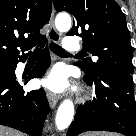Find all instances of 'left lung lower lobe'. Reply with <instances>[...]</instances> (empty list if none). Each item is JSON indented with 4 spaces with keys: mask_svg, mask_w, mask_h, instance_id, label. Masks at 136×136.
<instances>
[{
    "mask_svg": "<svg viewBox=\"0 0 136 136\" xmlns=\"http://www.w3.org/2000/svg\"><path fill=\"white\" fill-rule=\"evenodd\" d=\"M84 80L94 86L96 97L78 107L67 136L86 131H111L136 136L132 75L114 72L91 76L86 73Z\"/></svg>",
    "mask_w": 136,
    "mask_h": 136,
    "instance_id": "left-lung-lower-lobe-1",
    "label": "left lung lower lobe"
}]
</instances>
